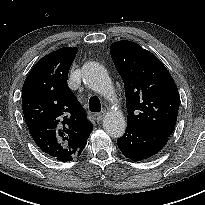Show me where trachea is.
<instances>
[{
  "instance_id": "1",
  "label": "trachea",
  "mask_w": 205,
  "mask_h": 205,
  "mask_svg": "<svg viewBox=\"0 0 205 205\" xmlns=\"http://www.w3.org/2000/svg\"><path fill=\"white\" fill-rule=\"evenodd\" d=\"M89 109L92 112H99L101 110V103L97 97L92 96L89 99Z\"/></svg>"
}]
</instances>
